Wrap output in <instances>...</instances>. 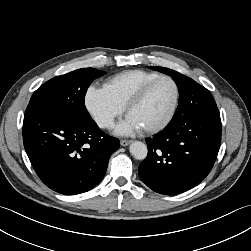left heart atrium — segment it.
Masks as SVG:
<instances>
[{
	"label": "left heart atrium",
	"instance_id": "left-heart-atrium-1",
	"mask_svg": "<svg viewBox=\"0 0 251 251\" xmlns=\"http://www.w3.org/2000/svg\"><path fill=\"white\" fill-rule=\"evenodd\" d=\"M141 130L140 126L127 116V118L117 126L116 133L120 135H131Z\"/></svg>",
	"mask_w": 251,
	"mask_h": 251
}]
</instances>
